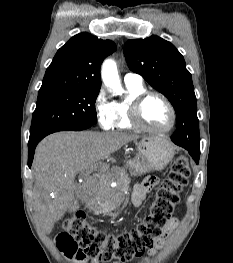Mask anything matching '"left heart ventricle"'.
Returning a JSON list of instances; mask_svg holds the SVG:
<instances>
[{
	"label": "left heart ventricle",
	"instance_id": "1",
	"mask_svg": "<svg viewBox=\"0 0 233 263\" xmlns=\"http://www.w3.org/2000/svg\"><path fill=\"white\" fill-rule=\"evenodd\" d=\"M142 117L148 126L156 129L165 128L171 120L166 104L158 97H150L145 101Z\"/></svg>",
	"mask_w": 233,
	"mask_h": 263
}]
</instances>
